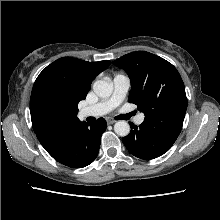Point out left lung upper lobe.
I'll use <instances>...</instances> for the list:
<instances>
[{
  "label": "left lung upper lobe",
  "instance_id": "1",
  "mask_svg": "<svg viewBox=\"0 0 220 220\" xmlns=\"http://www.w3.org/2000/svg\"><path fill=\"white\" fill-rule=\"evenodd\" d=\"M113 64L127 72L131 80L128 101L145 116L186 113L184 83L171 63L149 52H133Z\"/></svg>",
  "mask_w": 220,
  "mask_h": 220
}]
</instances>
